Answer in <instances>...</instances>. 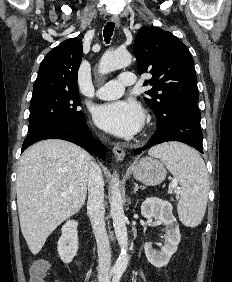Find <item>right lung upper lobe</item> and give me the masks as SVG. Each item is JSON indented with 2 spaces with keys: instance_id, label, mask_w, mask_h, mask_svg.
I'll return each instance as SVG.
<instances>
[{
  "instance_id": "1",
  "label": "right lung upper lobe",
  "mask_w": 232,
  "mask_h": 282,
  "mask_svg": "<svg viewBox=\"0 0 232 282\" xmlns=\"http://www.w3.org/2000/svg\"><path fill=\"white\" fill-rule=\"evenodd\" d=\"M82 44L70 38L52 49L40 64L33 92L43 90L78 91L77 74Z\"/></svg>"
}]
</instances>
